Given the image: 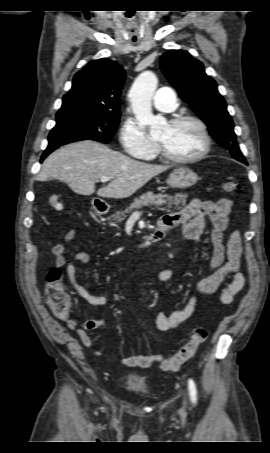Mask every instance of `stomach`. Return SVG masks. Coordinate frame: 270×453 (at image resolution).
Instances as JSON below:
<instances>
[{
    "label": "stomach",
    "instance_id": "1",
    "mask_svg": "<svg viewBox=\"0 0 270 453\" xmlns=\"http://www.w3.org/2000/svg\"><path fill=\"white\" fill-rule=\"evenodd\" d=\"M198 181L197 174L186 167H178L170 174L167 184L172 188L185 189L193 186ZM95 211L100 213V210L95 207Z\"/></svg>",
    "mask_w": 270,
    "mask_h": 453
}]
</instances>
